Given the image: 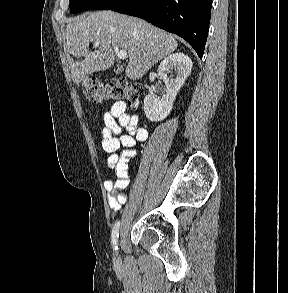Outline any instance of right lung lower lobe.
I'll return each instance as SVG.
<instances>
[{
  "instance_id": "1",
  "label": "right lung lower lobe",
  "mask_w": 288,
  "mask_h": 293,
  "mask_svg": "<svg viewBox=\"0 0 288 293\" xmlns=\"http://www.w3.org/2000/svg\"><path fill=\"white\" fill-rule=\"evenodd\" d=\"M212 0H122L112 11L140 17L185 39L202 58Z\"/></svg>"
}]
</instances>
